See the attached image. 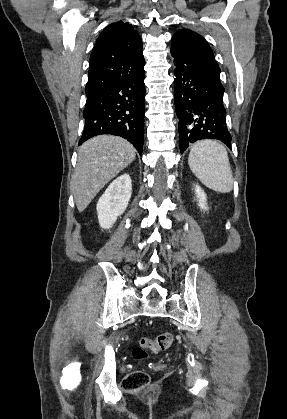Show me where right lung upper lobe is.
Here are the masks:
<instances>
[{"label": "right lung upper lobe", "instance_id": "obj_1", "mask_svg": "<svg viewBox=\"0 0 287 419\" xmlns=\"http://www.w3.org/2000/svg\"><path fill=\"white\" fill-rule=\"evenodd\" d=\"M141 37L129 23L107 26L96 40L89 61L87 98L144 70Z\"/></svg>", "mask_w": 287, "mask_h": 419}]
</instances>
